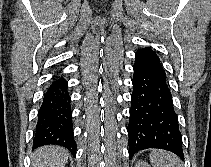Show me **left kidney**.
Returning a JSON list of instances; mask_svg holds the SVG:
<instances>
[{
	"instance_id": "5707ae66",
	"label": "left kidney",
	"mask_w": 211,
	"mask_h": 167,
	"mask_svg": "<svg viewBox=\"0 0 211 167\" xmlns=\"http://www.w3.org/2000/svg\"><path fill=\"white\" fill-rule=\"evenodd\" d=\"M136 167H150V166L146 162L141 160L136 164Z\"/></svg>"
}]
</instances>
